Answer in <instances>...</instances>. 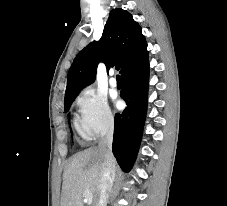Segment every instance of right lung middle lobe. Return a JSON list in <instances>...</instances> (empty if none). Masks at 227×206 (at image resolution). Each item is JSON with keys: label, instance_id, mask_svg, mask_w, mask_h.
I'll return each instance as SVG.
<instances>
[{"label": "right lung middle lobe", "instance_id": "1", "mask_svg": "<svg viewBox=\"0 0 227 206\" xmlns=\"http://www.w3.org/2000/svg\"><path fill=\"white\" fill-rule=\"evenodd\" d=\"M76 96L65 98V100H64V109H65V112L68 111L70 104L75 100Z\"/></svg>", "mask_w": 227, "mask_h": 206}]
</instances>
